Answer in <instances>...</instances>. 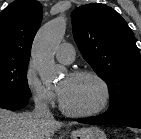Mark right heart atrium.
Segmentation results:
<instances>
[{
    "label": "right heart atrium",
    "mask_w": 141,
    "mask_h": 139,
    "mask_svg": "<svg viewBox=\"0 0 141 139\" xmlns=\"http://www.w3.org/2000/svg\"><path fill=\"white\" fill-rule=\"evenodd\" d=\"M25 86L30 94V97L35 104L39 106H52L56 101L55 92L46 87L39 79L36 70L31 64L25 69L24 72Z\"/></svg>",
    "instance_id": "obj_1"
}]
</instances>
